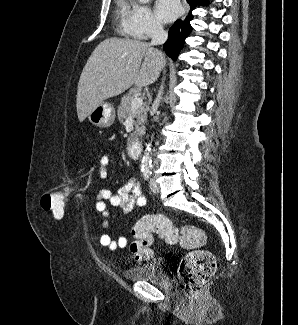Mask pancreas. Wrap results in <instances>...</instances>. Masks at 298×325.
Listing matches in <instances>:
<instances>
[{
	"instance_id": "obj_1",
	"label": "pancreas",
	"mask_w": 298,
	"mask_h": 325,
	"mask_svg": "<svg viewBox=\"0 0 298 325\" xmlns=\"http://www.w3.org/2000/svg\"><path fill=\"white\" fill-rule=\"evenodd\" d=\"M140 92L139 88H130L128 94L122 96V100L117 108L118 120L123 122L124 118H127L128 114H132L130 110L131 100L134 98L132 94H137ZM150 110L149 102H143L142 106H139L135 112H133L135 124V132H130L128 136L127 144H130L132 138H138L141 134H145V122L147 120V112Z\"/></svg>"
}]
</instances>
